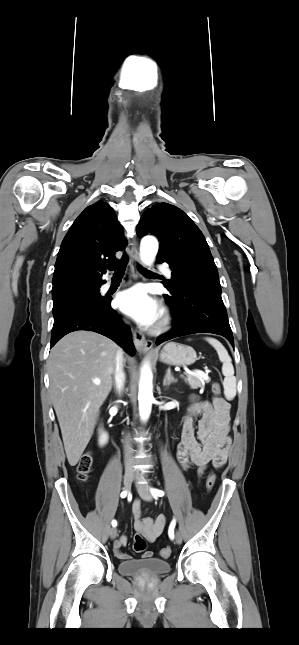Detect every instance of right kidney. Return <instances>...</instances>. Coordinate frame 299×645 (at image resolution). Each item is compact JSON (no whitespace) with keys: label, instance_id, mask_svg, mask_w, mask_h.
I'll return each mask as SVG.
<instances>
[{"label":"right kidney","instance_id":"obj_1","mask_svg":"<svg viewBox=\"0 0 299 645\" xmlns=\"http://www.w3.org/2000/svg\"><path fill=\"white\" fill-rule=\"evenodd\" d=\"M108 441V434L106 432L100 431L99 444L105 445Z\"/></svg>","mask_w":299,"mask_h":645}]
</instances>
